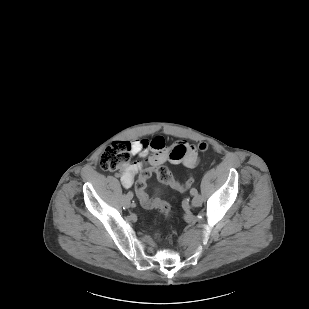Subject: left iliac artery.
<instances>
[{
    "label": "left iliac artery",
    "instance_id": "left-iliac-artery-1",
    "mask_svg": "<svg viewBox=\"0 0 309 309\" xmlns=\"http://www.w3.org/2000/svg\"><path fill=\"white\" fill-rule=\"evenodd\" d=\"M190 193H191V195H196V194H198V191L195 188H193V189H191Z\"/></svg>",
    "mask_w": 309,
    "mask_h": 309
}]
</instances>
